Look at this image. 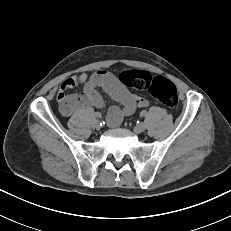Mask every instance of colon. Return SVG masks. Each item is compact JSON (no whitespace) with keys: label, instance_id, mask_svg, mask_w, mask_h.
<instances>
[{"label":"colon","instance_id":"1","mask_svg":"<svg viewBox=\"0 0 231 231\" xmlns=\"http://www.w3.org/2000/svg\"><path fill=\"white\" fill-rule=\"evenodd\" d=\"M119 80L125 86L148 90L155 99L168 108L174 109L178 105L179 98L175 85L163 77H153L143 70H129L122 72Z\"/></svg>","mask_w":231,"mask_h":231}]
</instances>
